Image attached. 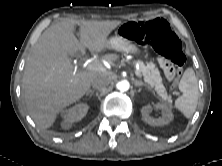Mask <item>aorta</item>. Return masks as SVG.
<instances>
[{
	"label": "aorta",
	"mask_w": 222,
	"mask_h": 166,
	"mask_svg": "<svg viewBox=\"0 0 222 166\" xmlns=\"http://www.w3.org/2000/svg\"><path fill=\"white\" fill-rule=\"evenodd\" d=\"M129 87H130V84L127 80H121L117 83V88L121 92H125V91L129 90Z\"/></svg>",
	"instance_id": "aorta-1"
}]
</instances>
